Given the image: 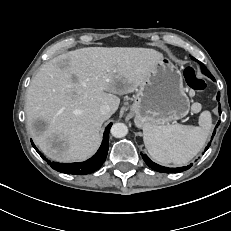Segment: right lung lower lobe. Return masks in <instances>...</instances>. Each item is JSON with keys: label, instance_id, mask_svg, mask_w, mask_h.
<instances>
[{"label": "right lung lower lobe", "instance_id": "98d812e1", "mask_svg": "<svg viewBox=\"0 0 231 231\" xmlns=\"http://www.w3.org/2000/svg\"><path fill=\"white\" fill-rule=\"evenodd\" d=\"M112 123H110L104 132L103 141L102 144L97 151V153L90 158L89 160L81 163H57V162H51L50 160H47L35 147L33 142L31 141L33 147L36 149V151L40 154V156L47 161V163L56 171L66 174H75V175H86L89 173H92L96 170H98L103 163L106 160L108 148H109V132L111 128Z\"/></svg>", "mask_w": 231, "mask_h": 231}]
</instances>
